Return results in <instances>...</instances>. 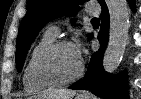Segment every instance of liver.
I'll return each mask as SVG.
<instances>
[{
    "instance_id": "liver-1",
    "label": "liver",
    "mask_w": 141,
    "mask_h": 99,
    "mask_svg": "<svg viewBox=\"0 0 141 99\" xmlns=\"http://www.w3.org/2000/svg\"><path fill=\"white\" fill-rule=\"evenodd\" d=\"M76 92L74 90H54L45 92L35 98L38 99H73Z\"/></svg>"
}]
</instances>
